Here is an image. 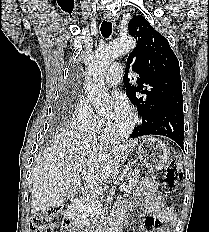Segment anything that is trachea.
<instances>
[{"label": "trachea", "instance_id": "trachea-1", "mask_svg": "<svg viewBox=\"0 0 209 232\" xmlns=\"http://www.w3.org/2000/svg\"><path fill=\"white\" fill-rule=\"evenodd\" d=\"M100 31L103 37L109 38L112 33V23L110 21H103Z\"/></svg>", "mask_w": 209, "mask_h": 232}]
</instances>
